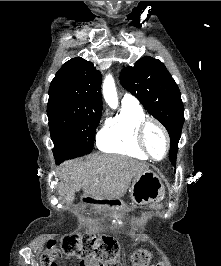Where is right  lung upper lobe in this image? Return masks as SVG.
<instances>
[{"mask_svg": "<svg viewBox=\"0 0 221 266\" xmlns=\"http://www.w3.org/2000/svg\"><path fill=\"white\" fill-rule=\"evenodd\" d=\"M102 75L94 65L81 58L67 61L50 84L49 96L71 98L89 113H102Z\"/></svg>", "mask_w": 221, "mask_h": 266, "instance_id": "obj_1", "label": "right lung upper lobe"}]
</instances>
